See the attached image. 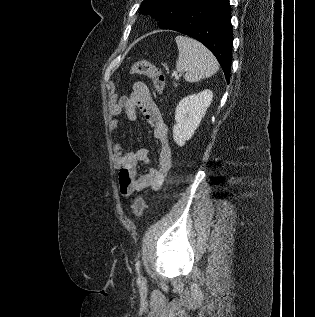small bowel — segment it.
I'll list each match as a JSON object with an SVG mask.
<instances>
[{"mask_svg": "<svg viewBox=\"0 0 315 317\" xmlns=\"http://www.w3.org/2000/svg\"><path fill=\"white\" fill-rule=\"evenodd\" d=\"M139 110L147 123L153 128L154 138L159 144V159L156 167L152 166V160L146 148L135 151H127L122 143L117 141L113 146V159L116 169L119 171V188L123 196H129L134 191L145 188L159 190L165 183L172 166V152L169 142L168 126L152 98L147 86L137 82L133 87V93L127 98L113 104L111 114L118 116L125 112L130 121L137 118ZM111 133H120L121 123L117 118H112L108 124ZM149 166L147 173L138 175V164Z\"/></svg>", "mask_w": 315, "mask_h": 317, "instance_id": "obj_1", "label": "small bowel"}]
</instances>
